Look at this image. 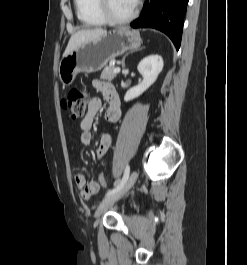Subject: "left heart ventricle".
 I'll return each mask as SVG.
<instances>
[{
    "mask_svg": "<svg viewBox=\"0 0 247 265\" xmlns=\"http://www.w3.org/2000/svg\"><path fill=\"white\" fill-rule=\"evenodd\" d=\"M135 2L136 0H109V6L115 16L126 17L132 12Z\"/></svg>",
    "mask_w": 247,
    "mask_h": 265,
    "instance_id": "obj_1",
    "label": "left heart ventricle"
}]
</instances>
